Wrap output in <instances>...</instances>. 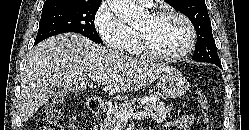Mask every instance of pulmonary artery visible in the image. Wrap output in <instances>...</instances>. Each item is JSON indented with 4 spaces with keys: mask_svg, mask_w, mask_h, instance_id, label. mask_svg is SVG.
<instances>
[{
    "mask_svg": "<svg viewBox=\"0 0 249 130\" xmlns=\"http://www.w3.org/2000/svg\"><path fill=\"white\" fill-rule=\"evenodd\" d=\"M136 1L146 6H150L152 4V0H136Z\"/></svg>",
    "mask_w": 249,
    "mask_h": 130,
    "instance_id": "pulmonary-artery-1",
    "label": "pulmonary artery"
}]
</instances>
